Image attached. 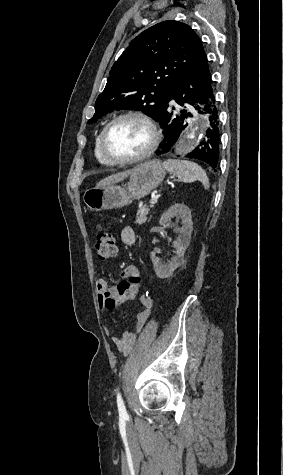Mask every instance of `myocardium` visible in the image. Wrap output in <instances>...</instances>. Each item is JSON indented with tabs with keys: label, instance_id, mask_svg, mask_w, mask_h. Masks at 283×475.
<instances>
[{
	"label": "myocardium",
	"instance_id": "f54148a6",
	"mask_svg": "<svg viewBox=\"0 0 283 475\" xmlns=\"http://www.w3.org/2000/svg\"><path fill=\"white\" fill-rule=\"evenodd\" d=\"M126 118H136L139 119L143 122H145L150 130H151V140L148 145V147L139 155L129 157V158H114L110 157L105 149V139L108 131L110 128L119 120L126 119ZM159 136H160V131L158 128V125L156 121L148 114L143 113V112H138V111H129L125 112L122 114H119L118 116L114 117L111 121H109L103 130L101 131L100 137H99V148H100V153L102 157L107 161V162H133V164L140 163L144 161L145 159L149 158L155 149L158 146L159 143Z\"/></svg>",
	"mask_w": 283,
	"mask_h": 475
}]
</instances>
